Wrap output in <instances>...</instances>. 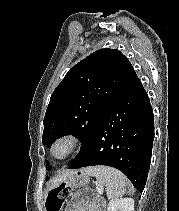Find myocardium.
<instances>
[{
	"instance_id": "obj_1",
	"label": "myocardium",
	"mask_w": 179,
	"mask_h": 211,
	"mask_svg": "<svg viewBox=\"0 0 179 211\" xmlns=\"http://www.w3.org/2000/svg\"><path fill=\"white\" fill-rule=\"evenodd\" d=\"M79 137L69 132L56 137L49 147V157L56 162L68 159L77 149Z\"/></svg>"
}]
</instances>
